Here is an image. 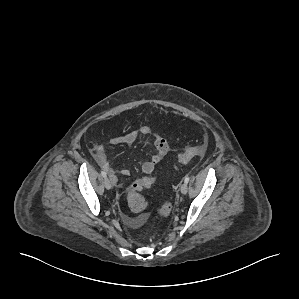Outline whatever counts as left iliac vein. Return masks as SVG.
<instances>
[{
    "instance_id": "1",
    "label": "left iliac vein",
    "mask_w": 299,
    "mask_h": 299,
    "mask_svg": "<svg viewBox=\"0 0 299 299\" xmlns=\"http://www.w3.org/2000/svg\"><path fill=\"white\" fill-rule=\"evenodd\" d=\"M187 191H188V187H187V184L184 182V183L181 185V187H180V192H181L182 194H186Z\"/></svg>"
}]
</instances>
